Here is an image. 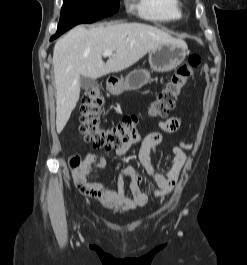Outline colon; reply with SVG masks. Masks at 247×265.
<instances>
[{"label": "colon", "instance_id": "5ec220e1", "mask_svg": "<svg viewBox=\"0 0 247 265\" xmlns=\"http://www.w3.org/2000/svg\"><path fill=\"white\" fill-rule=\"evenodd\" d=\"M201 59L192 55L188 63L180 65L171 78L160 90L150 105L149 113L154 117H165L175 107L178 96L185 87L194 70L199 66ZM103 97L97 88H92L85 93L81 106L79 130L86 142L92 143L94 148L106 150L118 149L139 135V117L129 115L122 122L112 126L103 127L100 121ZM80 164L78 156H72L70 166L77 169Z\"/></svg>", "mask_w": 247, "mask_h": 265}]
</instances>
